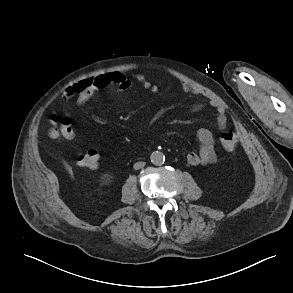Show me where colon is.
<instances>
[{
    "mask_svg": "<svg viewBox=\"0 0 293 293\" xmlns=\"http://www.w3.org/2000/svg\"><path fill=\"white\" fill-rule=\"evenodd\" d=\"M52 129L50 130V136L55 139H71L74 135L72 128V121L69 118H59L52 116L50 118ZM220 142L223 148L232 152L237 144V137L233 131L227 130L220 134ZM100 160V151L97 148H90L77 159L79 166L95 169L97 168Z\"/></svg>",
    "mask_w": 293,
    "mask_h": 293,
    "instance_id": "5ec220e1",
    "label": "colon"
}]
</instances>
